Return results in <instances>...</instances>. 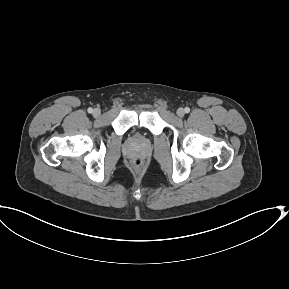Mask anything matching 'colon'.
Segmentation results:
<instances>
[{
  "label": "colon",
  "instance_id": "obj_1",
  "mask_svg": "<svg viewBox=\"0 0 289 289\" xmlns=\"http://www.w3.org/2000/svg\"><path fill=\"white\" fill-rule=\"evenodd\" d=\"M132 163L135 169H139L142 165V161L140 159H135Z\"/></svg>",
  "mask_w": 289,
  "mask_h": 289
}]
</instances>
